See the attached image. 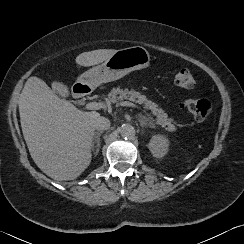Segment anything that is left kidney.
<instances>
[{"instance_id": "5707ae66", "label": "left kidney", "mask_w": 244, "mask_h": 244, "mask_svg": "<svg viewBox=\"0 0 244 244\" xmlns=\"http://www.w3.org/2000/svg\"><path fill=\"white\" fill-rule=\"evenodd\" d=\"M170 141L165 135H154L150 139L148 148L151 154L158 159L163 158L169 150Z\"/></svg>"}]
</instances>
